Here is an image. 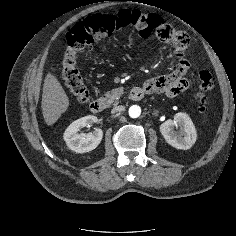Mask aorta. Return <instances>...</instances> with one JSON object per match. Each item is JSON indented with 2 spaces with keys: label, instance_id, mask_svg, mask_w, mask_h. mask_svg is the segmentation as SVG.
I'll list each match as a JSON object with an SVG mask.
<instances>
[{
  "label": "aorta",
  "instance_id": "1",
  "mask_svg": "<svg viewBox=\"0 0 236 236\" xmlns=\"http://www.w3.org/2000/svg\"><path fill=\"white\" fill-rule=\"evenodd\" d=\"M141 114V108L138 105H132L129 108V116L131 118H138Z\"/></svg>",
  "mask_w": 236,
  "mask_h": 236
}]
</instances>
